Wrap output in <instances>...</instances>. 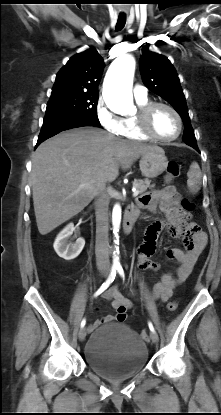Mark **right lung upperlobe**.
Here are the masks:
<instances>
[{"label": "right lung upper lobe", "instance_id": "obj_1", "mask_svg": "<svg viewBox=\"0 0 221 415\" xmlns=\"http://www.w3.org/2000/svg\"><path fill=\"white\" fill-rule=\"evenodd\" d=\"M103 68V58L94 48L76 54L58 72L52 93H98Z\"/></svg>", "mask_w": 221, "mask_h": 415}]
</instances>
